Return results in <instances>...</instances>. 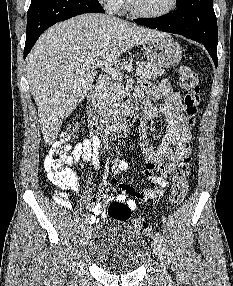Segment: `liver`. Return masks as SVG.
I'll use <instances>...</instances> for the list:
<instances>
[{
	"instance_id": "1",
	"label": "liver",
	"mask_w": 233,
	"mask_h": 286,
	"mask_svg": "<svg viewBox=\"0 0 233 286\" xmlns=\"http://www.w3.org/2000/svg\"><path fill=\"white\" fill-rule=\"evenodd\" d=\"M164 35L97 13L76 16L45 31L26 59L44 142L51 145L56 140L63 121L90 90L96 76L92 61L112 65L134 45Z\"/></svg>"
}]
</instances>
